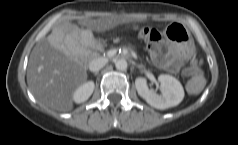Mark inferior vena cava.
Segmentation results:
<instances>
[{"mask_svg": "<svg viewBox=\"0 0 238 145\" xmlns=\"http://www.w3.org/2000/svg\"><path fill=\"white\" fill-rule=\"evenodd\" d=\"M107 62L108 60L106 58L103 57L95 58L89 63V70L92 72H97L101 68H103Z\"/></svg>", "mask_w": 238, "mask_h": 145, "instance_id": "inferior-vena-cava-1", "label": "inferior vena cava"}]
</instances>
